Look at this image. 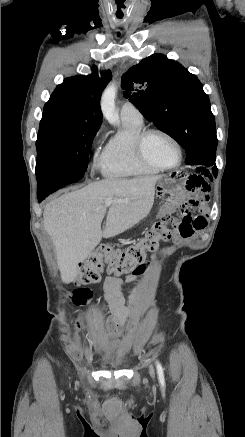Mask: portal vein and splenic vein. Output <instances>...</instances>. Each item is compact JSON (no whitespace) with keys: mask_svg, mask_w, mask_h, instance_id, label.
Instances as JSON below:
<instances>
[{"mask_svg":"<svg viewBox=\"0 0 245 437\" xmlns=\"http://www.w3.org/2000/svg\"><path fill=\"white\" fill-rule=\"evenodd\" d=\"M113 202L123 203V202H125V200L124 199L113 200L112 198H108L105 202V206L109 207Z\"/></svg>","mask_w":245,"mask_h":437,"instance_id":"obj_1","label":"portal vein and splenic vein"}]
</instances>
